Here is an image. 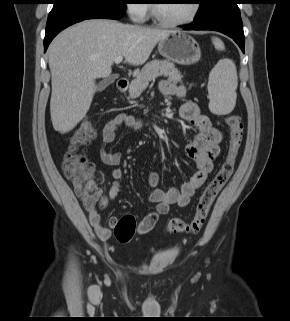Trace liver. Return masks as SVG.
Listing matches in <instances>:
<instances>
[{
  "label": "liver",
  "mask_w": 290,
  "mask_h": 321,
  "mask_svg": "<svg viewBox=\"0 0 290 321\" xmlns=\"http://www.w3.org/2000/svg\"><path fill=\"white\" fill-rule=\"evenodd\" d=\"M173 31L91 19L68 27L48 48L53 127L64 134L85 117L95 80L109 77L118 56L133 66L144 64L156 44Z\"/></svg>",
  "instance_id": "liver-1"
}]
</instances>
